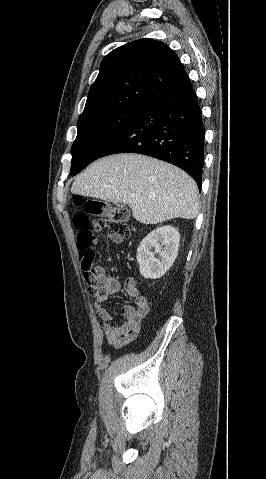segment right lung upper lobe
I'll return each mask as SVG.
<instances>
[{"label":"right lung upper lobe","mask_w":266,"mask_h":479,"mask_svg":"<svg viewBox=\"0 0 266 479\" xmlns=\"http://www.w3.org/2000/svg\"><path fill=\"white\" fill-rule=\"evenodd\" d=\"M189 79L178 56L149 38L127 43L101 62L80 118L114 109H143Z\"/></svg>","instance_id":"obj_1"}]
</instances>
